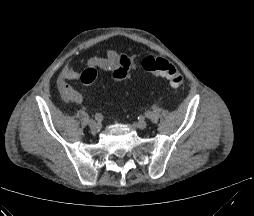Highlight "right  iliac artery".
I'll list each match as a JSON object with an SVG mask.
<instances>
[{
  "mask_svg": "<svg viewBox=\"0 0 254 216\" xmlns=\"http://www.w3.org/2000/svg\"><path fill=\"white\" fill-rule=\"evenodd\" d=\"M94 118L98 123L103 121V115L101 113H96Z\"/></svg>",
  "mask_w": 254,
  "mask_h": 216,
  "instance_id": "right-iliac-artery-1",
  "label": "right iliac artery"
}]
</instances>
